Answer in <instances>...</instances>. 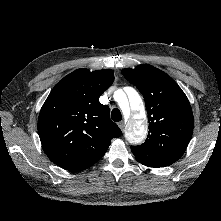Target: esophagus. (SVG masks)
I'll return each instance as SVG.
<instances>
[{
    "instance_id": "34e87169",
    "label": "esophagus",
    "mask_w": 221,
    "mask_h": 221,
    "mask_svg": "<svg viewBox=\"0 0 221 221\" xmlns=\"http://www.w3.org/2000/svg\"><path fill=\"white\" fill-rule=\"evenodd\" d=\"M119 128L123 131L125 127V123L123 121L118 123Z\"/></svg>"
}]
</instances>
